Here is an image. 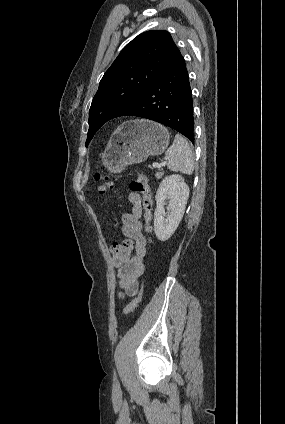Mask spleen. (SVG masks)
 <instances>
[{
	"label": "spleen",
	"instance_id": "3e777b00",
	"mask_svg": "<svg viewBox=\"0 0 285 424\" xmlns=\"http://www.w3.org/2000/svg\"><path fill=\"white\" fill-rule=\"evenodd\" d=\"M167 167L171 171L191 174L194 171V157L188 141L176 134L173 144L166 151Z\"/></svg>",
	"mask_w": 285,
	"mask_h": 424
}]
</instances>
